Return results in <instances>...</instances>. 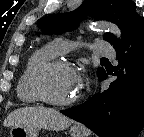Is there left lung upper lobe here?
Segmentation results:
<instances>
[{
    "instance_id": "left-lung-upper-lobe-1",
    "label": "left lung upper lobe",
    "mask_w": 144,
    "mask_h": 137,
    "mask_svg": "<svg viewBox=\"0 0 144 137\" xmlns=\"http://www.w3.org/2000/svg\"><path fill=\"white\" fill-rule=\"evenodd\" d=\"M108 20L116 23L122 32V40L116 39L111 33L104 34V40L113 45L114 49L120 46L144 20L136 13V4L131 0H85L75 11L65 14H53L37 21L38 27L48 35L61 34L77 27L84 17ZM105 74L102 67L98 68L99 79Z\"/></svg>"
}]
</instances>
